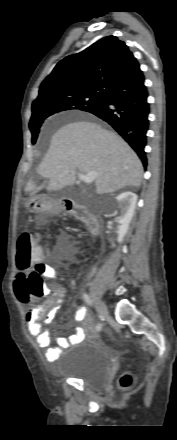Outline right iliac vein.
I'll use <instances>...</instances> for the list:
<instances>
[{"mask_svg":"<svg viewBox=\"0 0 177 440\" xmlns=\"http://www.w3.org/2000/svg\"><path fill=\"white\" fill-rule=\"evenodd\" d=\"M96 308H97V311H98V313H99V315H100L101 318H105V317H107V315H108V310H107V307H106V305L104 304V302H102L101 300H97V302H96Z\"/></svg>","mask_w":177,"mask_h":440,"instance_id":"1","label":"right iliac vein"}]
</instances>
